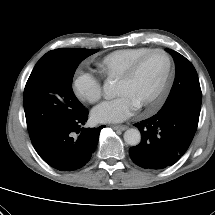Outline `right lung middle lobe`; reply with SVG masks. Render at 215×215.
I'll use <instances>...</instances> for the list:
<instances>
[{
  "instance_id": "dd1d6c3e",
  "label": "right lung middle lobe",
  "mask_w": 215,
  "mask_h": 215,
  "mask_svg": "<svg viewBox=\"0 0 215 215\" xmlns=\"http://www.w3.org/2000/svg\"><path fill=\"white\" fill-rule=\"evenodd\" d=\"M98 50L61 48L46 53L24 89V111L31 140L80 114L85 107L72 90L78 65Z\"/></svg>"
}]
</instances>
